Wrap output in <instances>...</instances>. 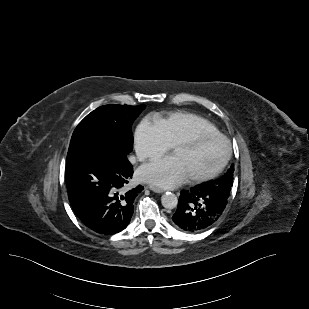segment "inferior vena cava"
I'll use <instances>...</instances> for the list:
<instances>
[{
    "label": "inferior vena cava",
    "mask_w": 309,
    "mask_h": 309,
    "mask_svg": "<svg viewBox=\"0 0 309 309\" xmlns=\"http://www.w3.org/2000/svg\"><path fill=\"white\" fill-rule=\"evenodd\" d=\"M129 160H130L132 163H134V162H135V157H134V156H131V157L129 158Z\"/></svg>",
    "instance_id": "602c4592"
}]
</instances>
